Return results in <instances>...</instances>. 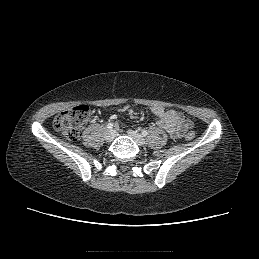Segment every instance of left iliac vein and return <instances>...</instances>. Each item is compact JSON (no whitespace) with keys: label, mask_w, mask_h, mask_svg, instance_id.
<instances>
[{"label":"left iliac vein","mask_w":259,"mask_h":259,"mask_svg":"<svg viewBox=\"0 0 259 259\" xmlns=\"http://www.w3.org/2000/svg\"><path fill=\"white\" fill-rule=\"evenodd\" d=\"M127 133L136 142L137 145L143 146L145 144V139L140 133L134 130H128Z\"/></svg>","instance_id":"obj_1"}]
</instances>
